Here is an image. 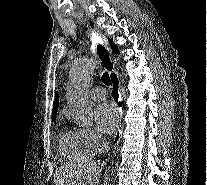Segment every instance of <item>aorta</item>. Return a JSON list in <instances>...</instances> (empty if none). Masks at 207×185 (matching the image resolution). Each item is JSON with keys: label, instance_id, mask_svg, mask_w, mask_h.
<instances>
[{"label": "aorta", "instance_id": "aorta-1", "mask_svg": "<svg viewBox=\"0 0 207 185\" xmlns=\"http://www.w3.org/2000/svg\"><path fill=\"white\" fill-rule=\"evenodd\" d=\"M95 67L93 59H82L74 62L69 72L66 97L75 121L81 127L92 124L93 109L88 99V89Z\"/></svg>", "mask_w": 207, "mask_h": 185}]
</instances>
